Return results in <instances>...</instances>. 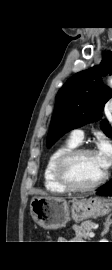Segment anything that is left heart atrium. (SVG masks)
Instances as JSON below:
<instances>
[{
	"mask_svg": "<svg viewBox=\"0 0 112 270\" xmlns=\"http://www.w3.org/2000/svg\"><path fill=\"white\" fill-rule=\"evenodd\" d=\"M103 169L106 171L112 163V147L107 141L99 144L96 152Z\"/></svg>",
	"mask_w": 112,
	"mask_h": 270,
	"instance_id": "39dd6f15",
	"label": "left heart atrium"
}]
</instances>
